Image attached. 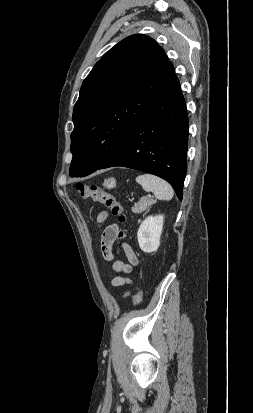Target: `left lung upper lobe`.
Segmentation results:
<instances>
[{
    "mask_svg": "<svg viewBox=\"0 0 253 413\" xmlns=\"http://www.w3.org/2000/svg\"><path fill=\"white\" fill-rule=\"evenodd\" d=\"M174 74L164 50L143 34L129 36L105 53L83 81L73 109L70 176L99 169Z\"/></svg>",
    "mask_w": 253,
    "mask_h": 413,
    "instance_id": "5c2ea615",
    "label": "left lung upper lobe"
}]
</instances>
